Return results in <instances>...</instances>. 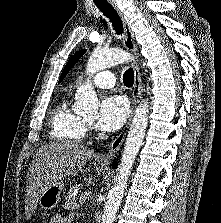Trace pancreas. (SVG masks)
Returning a JSON list of instances; mask_svg holds the SVG:
<instances>
[{"label":"pancreas","mask_w":221,"mask_h":223,"mask_svg":"<svg viewBox=\"0 0 221 223\" xmlns=\"http://www.w3.org/2000/svg\"><path fill=\"white\" fill-rule=\"evenodd\" d=\"M77 187H72L69 191H68V195L66 197V202L64 203L63 207L67 210H74L76 208H78L83 200V194H81L79 196V203L77 202L78 198L76 196H74V190L76 189Z\"/></svg>","instance_id":"obj_1"}]
</instances>
